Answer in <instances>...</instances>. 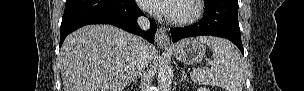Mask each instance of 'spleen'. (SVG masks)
<instances>
[{"mask_svg": "<svg viewBox=\"0 0 304 91\" xmlns=\"http://www.w3.org/2000/svg\"><path fill=\"white\" fill-rule=\"evenodd\" d=\"M202 44L213 52L211 68H199L191 73L192 80L201 85H212L226 91H242L244 67L239 51L228 40L218 37H200Z\"/></svg>", "mask_w": 304, "mask_h": 91, "instance_id": "3e777b00", "label": "spleen"}]
</instances>
